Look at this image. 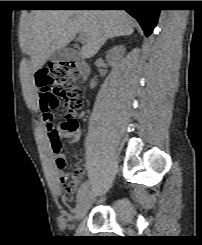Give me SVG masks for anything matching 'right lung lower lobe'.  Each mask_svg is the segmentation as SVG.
<instances>
[{"label": "right lung lower lobe", "instance_id": "obj_1", "mask_svg": "<svg viewBox=\"0 0 202 245\" xmlns=\"http://www.w3.org/2000/svg\"><path fill=\"white\" fill-rule=\"evenodd\" d=\"M81 7H124L140 23L148 37L156 26L160 10L154 1H80Z\"/></svg>", "mask_w": 202, "mask_h": 245}]
</instances>
